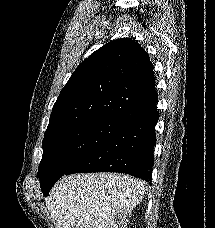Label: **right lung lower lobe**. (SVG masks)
<instances>
[{
    "label": "right lung lower lobe",
    "instance_id": "obj_1",
    "mask_svg": "<svg viewBox=\"0 0 215 228\" xmlns=\"http://www.w3.org/2000/svg\"><path fill=\"white\" fill-rule=\"evenodd\" d=\"M157 108L149 114L127 122L100 143L66 175L81 172H119L143 179L151 184L156 143Z\"/></svg>",
    "mask_w": 215,
    "mask_h": 228
}]
</instances>
